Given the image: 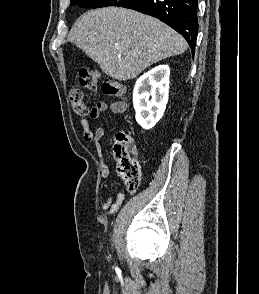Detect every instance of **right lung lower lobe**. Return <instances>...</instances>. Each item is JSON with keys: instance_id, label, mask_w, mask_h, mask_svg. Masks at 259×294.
<instances>
[{"instance_id": "right-lung-lower-lobe-1", "label": "right lung lower lobe", "mask_w": 259, "mask_h": 294, "mask_svg": "<svg viewBox=\"0 0 259 294\" xmlns=\"http://www.w3.org/2000/svg\"><path fill=\"white\" fill-rule=\"evenodd\" d=\"M198 0H129L121 7L154 16L180 33L195 51Z\"/></svg>"}]
</instances>
